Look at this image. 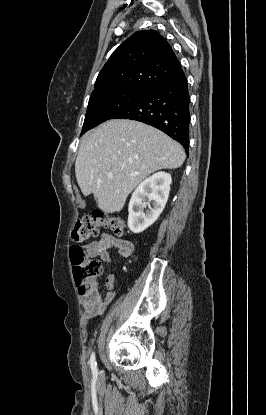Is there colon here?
I'll use <instances>...</instances> for the list:
<instances>
[{"label":"colon","mask_w":266,"mask_h":415,"mask_svg":"<svg viewBox=\"0 0 266 415\" xmlns=\"http://www.w3.org/2000/svg\"><path fill=\"white\" fill-rule=\"evenodd\" d=\"M101 227L109 228L115 234L122 235L125 223L119 218L95 211L91 215L81 217L72 231V239L76 244L71 247L70 258L75 281L79 289L83 291L88 290L95 283V279L101 276L103 268L101 262L90 256L87 250L78 243L96 237Z\"/></svg>","instance_id":"5ec220e1"}]
</instances>
